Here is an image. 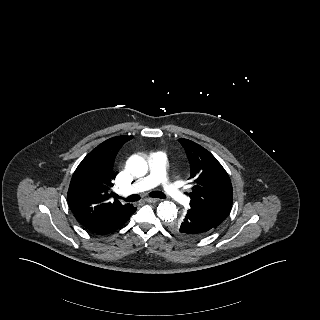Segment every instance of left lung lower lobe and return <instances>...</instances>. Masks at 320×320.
Masks as SVG:
<instances>
[{"label":"left lung lower lobe","mask_w":320,"mask_h":320,"mask_svg":"<svg viewBox=\"0 0 320 320\" xmlns=\"http://www.w3.org/2000/svg\"><path fill=\"white\" fill-rule=\"evenodd\" d=\"M180 232L190 238H200L214 231L217 227L200 214H196L190 209L180 220ZM172 232L171 224L169 225Z\"/></svg>","instance_id":"1"}]
</instances>
